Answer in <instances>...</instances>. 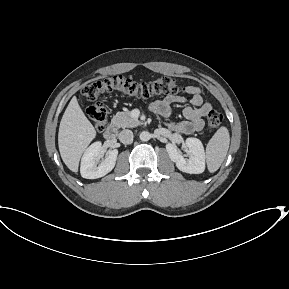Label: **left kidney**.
<instances>
[{
  "instance_id": "5707ae66",
  "label": "left kidney",
  "mask_w": 289,
  "mask_h": 289,
  "mask_svg": "<svg viewBox=\"0 0 289 289\" xmlns=\"http://www.w3.org/2000/svg\"><path fill=\"white\" fill-rule=\"evenodd\" d=\"M187 155L182 154L173 144H167L166 150L177 168L185 173L200 174L205 170V152L202 142L197 138L186 139Z\"/></svg>"
}]
</instances>
